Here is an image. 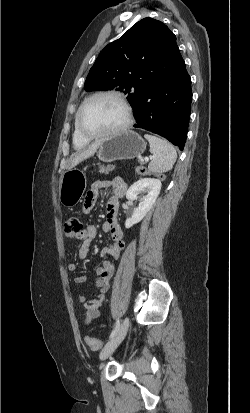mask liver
<instances>
[{
  "mask_svg": "<svg viewBox=\"0 0 250 413\" xmlns=\"http://www.w3.org/2000/svg\"><path fill=\"white\" fill-rule=\"evenodd\" d=\"M100 144H101V141L97 140L93 144L89 145L88 148L74 153L71 157V164L69 168L71 169L77 166L83 160L91 157L97 151Z\"/></svg>",
  "mask_w": 250,
  "mask_h": 413,
  "instance_id": "6515ba94",
  "label": "liver"
}]
</instances>
